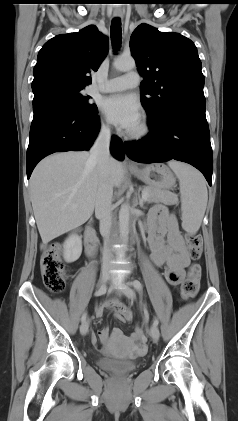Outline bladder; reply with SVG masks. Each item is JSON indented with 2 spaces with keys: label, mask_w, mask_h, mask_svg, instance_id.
<instances>
[{
  "label": "bladder",
  "mask_w": 238,
  "mask_h": 421,
  "mask_svg": "<svg viewBox=\"0 0 238 421\" xmlns=\"http://www.w3.org/2000/svg\"><path fill=\"white\" fill-rule=\"evenodd\" d=\"M97 364L101 369L117 374L129 373L137 368V363L133 360L112 357L100 358Z\"/></svg>",
  "instance_id": "obj_1"
}]
</instances>
